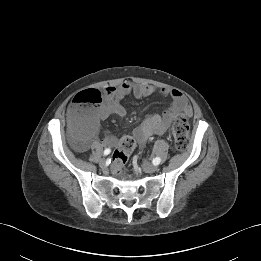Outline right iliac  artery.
I'll return each instance as SVG.
<instances>
[{
  "label": "right iliac artery",
  "instance_id": "82829eb1",
  "mask_svg": "<svg viewBox=\"0 0 261 261\" xmlns=\"http://www.w3.org/2000/svg\"><path fill=\"white\" fill-rule=\"evenodd\" d=\"M110 152H111V150L109 148H107L104 150V155H108V154H110Z\"/></svg>",
  "mask_w": 261,
  "mask_h": 261
}]
</instances>
